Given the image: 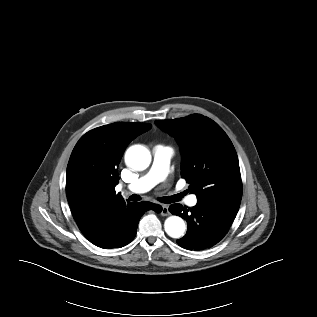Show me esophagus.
Instances as JSON below:
<instances>
[{"label": "esophagus", "mask_w": 317, "mask_h": 317, "mask_svg": "<svg viewBox=\"0 0 317 317\" xmlns=\"http://www.w3.org/2000/svg\"><path fill=\"white\" fill-rule=\"evenodd\" d=\"M170 213H169V209L166 205H163L162 206V209H161V215L162 216H168Z\"/></svg>", "instance_id": "esophagus-1"}]
</instances>
